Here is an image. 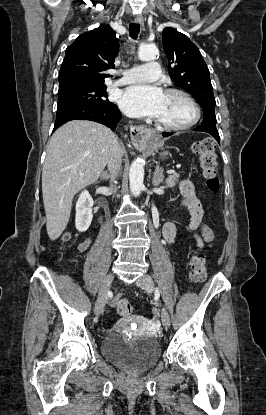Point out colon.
I'll return each instance as SVG.
<instances>
[{"label":"colon","mask_w":266,"mask_h":415,"mask_svg":"<svg viewBox=\"0 0 266 415\" xmlns=\"http://www.w3.org/2000/svg\"><path fill=\"white\" fill-rule=\"evenodd\" d=\"M193 151L198 155L201 174L205 179L207 188L215 193L219 189L218 162L215 153V142L211 138H204L193 145ZM69 234L64 235L68 240ZM207 270L204 256L195 254L190 259V279L192 282L201 283L206 279ZM133 311L132 305L126 299L117 303V312L120 316H129Z\"/></svg>","instance_id":"1"}]
</instances>
